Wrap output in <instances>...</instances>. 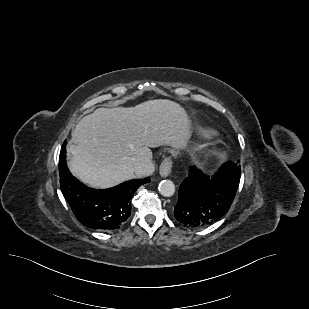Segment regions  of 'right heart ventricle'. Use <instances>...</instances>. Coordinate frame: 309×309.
I'll return each mask as SVG.
<instances>
[{"instance_id":"right-heart-ventricle-1","label":"right heart ventricle","mask_w":309,"mask_h":309,"mask_svg":"<svg viewBox=\"0 0 309 309\" xmlns=\"http://www.w3.org/2000/svg\"><path fill=\"white\" fill-rule=\"evenodd\" d=\"M204 133L208 134V133H209V131H204Z\"/></svg>"}]
</instances>
